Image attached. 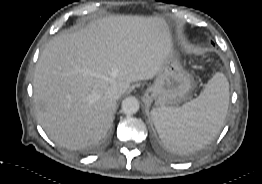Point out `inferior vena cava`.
I'll return each instance as SVG.
<instances>
[{"mask_svg": "<svg viewBox=\"0 0 262 184\" xmlns=\"http://www.w3.org/2000/svg\"><path fill=\"white\" fill-rule=\"evenodd\" d=\"M106 97L116 101L119 98V89L116 86H111L106 92Z\"/></svg>", "mask_w": 262, "mask_h": 184, "instance_id": "obj_1", "label": "inferior vena cava"}]
</instances>
